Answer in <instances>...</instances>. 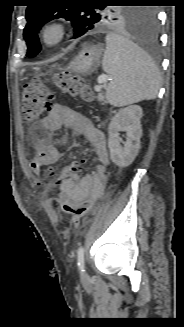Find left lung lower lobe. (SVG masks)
Instances as JSON below:
<instances>
[{
	"mask_svg": "<svg viewBox=\"0 0 184 327\" xmlns=\"http://www.w3.org/2000/svg\"><path fill=\"white\" fill-rule=\"evenodd\" d=\"M136 40L145 53L156 56L159 52L158 19L152 9H145L142 20L136 25ZM78 37V35H75Z\"/></svg>",
	"mask_w": 184,
	"mask_h": 327,
	"instance_id": "left-lung-lower-lobe-1",
	"label": "left lung lower lobe"
}]
</instances>
